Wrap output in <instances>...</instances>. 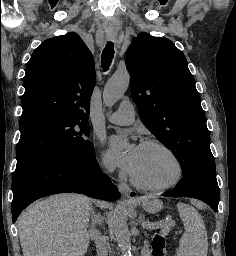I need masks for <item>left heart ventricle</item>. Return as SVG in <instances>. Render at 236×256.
Listing matches in <instances>:
<instances>
[{"mask_svg": "<svg viewBox=\"0 0 236 256\" xmlns=\"http://www.w3.org/2000/svg\"><path fill=\"white\" fill-rule=\"evenodd\" d=\"M130 172L144 185L160 186L170 182L176 176L177 166L163 149L140 146Z\"/></svg>", "mask_w": 236, "mask_h": 256, "instance_id": "1", "label": "left heart ventricle"}]
</instances>
